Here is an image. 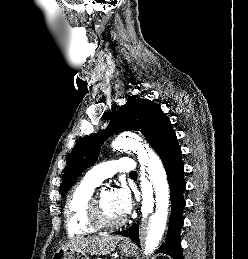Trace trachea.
I'll return each mask as SVG.
<instances>
[{"instance_id": "3493384b", "label": "trachea", "mask_w": 248, "mask_h": 259, "mask_svg": "<svg viewBox=\"0 0 248 259\" xmlns=\"http://www.w3.org/2000/svg\"><path fill=\"white\" fill-rule=\"evenodd\" d=\"M130 174H131V175H136L137 172L133 171V172H131Z\"/></svg>"}]
</instances>
